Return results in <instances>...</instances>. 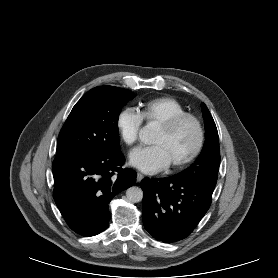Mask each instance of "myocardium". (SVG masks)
<instances>
[{"instance_id": "1", "label": "myocardium", "mask_w": 278, "mask_h": 278, "mask_svg": "<svg viewBox=\"0 0 278 278\" xmlns=\"http://www.w3.org/2000/svg\"><path fill=\"white\" fill-rule=\"evenodd\" d=\"M191 122L196 128L197 141L193 150L184 158L170 164L172 169H181L192 163L201 153L205 143V130L202 122L198 117L190 113L177 115L166 122L160 124V128L166 133L174 132L179 126L185 122Z\"/></svg>"}]
</instances>
